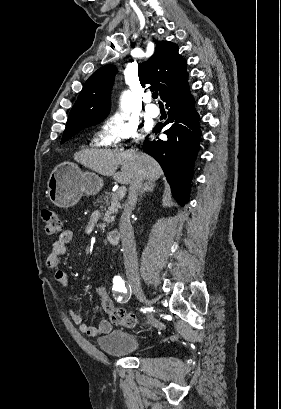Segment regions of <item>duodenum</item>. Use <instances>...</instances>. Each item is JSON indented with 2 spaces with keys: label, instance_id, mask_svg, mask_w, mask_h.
I'll list each match as a JSON object with an SVG mask.
<instances>
[{
  "label": "duodenum",
  "instance_id": "obj_1",
  "mask_svg": "<svg viewBox=\"0 0 281 409\" xmlns=\"http://www.w3.org/2000/svg\"><path fill=\"white\" fill-rule=\"evenodd\" d=\"M121 234L119 231L112 230L107 234V241L111 245H117L120 242Z\"/></svg>",
  "mask_w": 281,
  "mask_h": 409
}]
</instances>
